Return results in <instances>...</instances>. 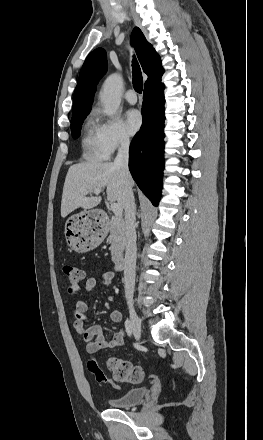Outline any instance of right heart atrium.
<instances>
[{
    "mask_svg": "<svg viewBox=\"0 0 263 440\" xmlns=\"http://www.w3.org/2000/svg\"><path fill=\"white\" fill-rule=\"evenodd\" d=\"M99 128L102 145L108 155L130 145L131 138L119 119H105Z\"/></svg>",
    "mask_w": 263,
    "mask_h": 440,
    "instance_id": "right-heart-atrium-1",
    "label": "right heart atrium"
}]
</instances>
